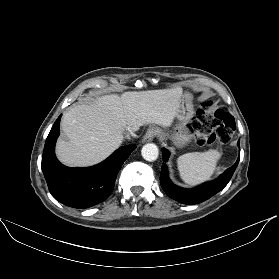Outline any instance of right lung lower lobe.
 I'll use <instances>...</instances> for the list:
<instances>
[{
  "label": "right lung lower lobe",
  "mask_w": 279,
  "mask_h": 279,
  "mask_svg": "<svg viewBox=\"0 0 279 279\" xmlns=\"http://www.w3.org/2000/svg\"><path fill=\"white\" fill-rule=\"evenodd\" d=\"M60 118L55 121L46 139L42 171L54 198L69 207L88 208L107 199L114 188L118 171L136 146L131 144L120 147L105 161L92 167L64 166L54 153Z\"/></svg>",
  "instance_id": "right-lung-lower-lobe-1"
}]
</instances>
